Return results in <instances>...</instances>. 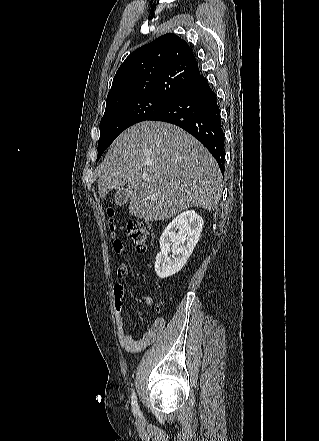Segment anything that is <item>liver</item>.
Returning a JSON list of instances; mask_svg holds the SVG:
<instances>
[{
	"label": "liver",
	"instance_id": "liver-1",
	"mask_svg": "<svg viewBox=\"0 0 319 441\" xmlns=\"http://www.w3.org/2000/svg\"><path fill=\"white\" fill-rule=\"evenodd\" d=\"M97 184L102 199L128 184L129 213L146 221L192 207L213 211L222 194V174L209 151L180 127L159 121H143L116 138Z\"/></svg>",
	"mask_w": 319,
	"mask_h": 441
}]
</instances>
